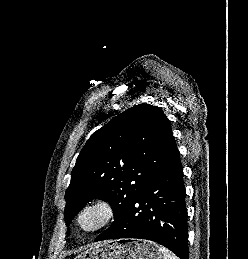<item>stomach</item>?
<instances>
[{
	"mask_svg": "<svg viewBox=\"0 0 248 259\" xmlns=\"http://www.w3.org/2000/svg\"><path fill=\"white\" fill-rule=\"evenodd\" d=\"M159 245L141 239H121L97 244L74 259H162Z\"/></svg>",
	"mask_w": 248,
	"mask_h": 259,
	"instance_id": "stomach-1",
	"label": "stomach"
}]
</instances>
